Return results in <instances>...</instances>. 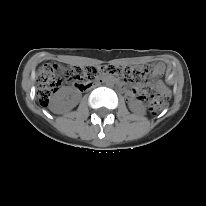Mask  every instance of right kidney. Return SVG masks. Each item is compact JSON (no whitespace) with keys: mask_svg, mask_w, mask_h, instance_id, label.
<instances>
[{"mask_svg":"<svg viewBox=\"0 0 206 206\" xmlns=\"http://www.w3.org/2000/svg\"><path fill=\"white\" fill-rule=\"evenodd\" d=\"M78 102V96L70 89H61L51 100L50 110L63 113L71 110Z\"/></svg>","mask_w":206,"mask_h":206,"instance_id":"ca27d5eb","label":"right kidney"}]
</instances>
